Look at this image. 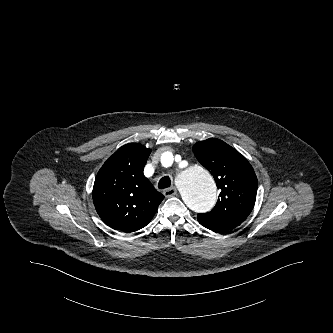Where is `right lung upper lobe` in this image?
Instances as JSON below:
<instances>
[{
    "label": "right lung upper lobe",
    "instance_id": "obj_1",
    "mask_svg": "<svg viewBox=\"0 0 333 333\" xmlns=\"http://www.w3.org/2000/svg\"><path fill=\"white\" fill-rule=\"evenodd\" d=\"M150 153L141 144H126L99 170L93 202L100 218L111 228L133 232L145 227L164 199L143 174Z\"/></svg>",
    "mask_w": 333,
    "mask_h": 333
}]
</instances>
